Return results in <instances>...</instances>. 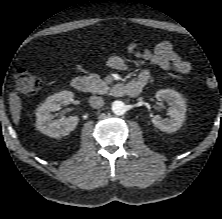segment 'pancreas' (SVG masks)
<instances>
[{
  "label": "pancreas",
  "instance_id": "pancreas-1",
  "mask_svg": "<svg viewBox=\"0 0 222 219\" xmlns=\"http://www.w3.org/2000/svg\"><path fill=\"white\" fill-rule=\"evenodd\" d=\"M87 90L92 93L104 94L108 91L109 87L97 74H90L87 78Z\"/></svg>",
  "mask_w": 222,
  "mask_h": 219
}]
</instances>
